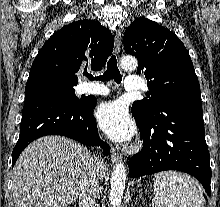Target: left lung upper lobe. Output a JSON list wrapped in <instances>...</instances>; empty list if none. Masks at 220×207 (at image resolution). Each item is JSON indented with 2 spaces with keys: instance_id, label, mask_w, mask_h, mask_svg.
Masks as SVG:
<instances>
[{
  "instance_id": "obj_1",
  "label": "left lung upper lobe",
  "mask_w": 220,
  "mask_h": 207,
  "mask_svg": "<svg viewBox=\"0 0 220 207\" xmlns=\"http://www.w3.org/2000/svg\"><path fill=\"white\" fill-rule=\"evenodd\" d=\"M125 52L138 59L137 73H144L149 93L132 104L139 122L153 120L165 105L178 99L200 97L193 63L181 40L145 17L136 19L124 33Z\"/></svg>"
}]
</instances>
